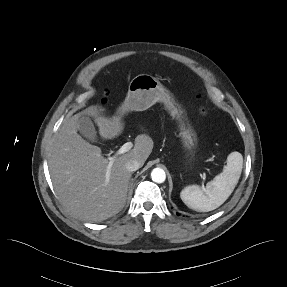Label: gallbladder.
Instances as JSON below:
<instances>
[{
	"mask_svg": "<svg viewBox=\"0 0 287 287\" xmlns=\"http://www.w3.org/2000/svg\"><path fill=\"white\" fill-rule=\"evenodd\" d=\"M78 131L83 137H85L89 141H97V132L92 120L89 117L83 116L79 119Z\"/></svg>",
	"mask_w": 287,
	"mask_h": 287,
	"instance_id": "bac80fb5",
	"label": "gallbladder"
}]
</instances>
